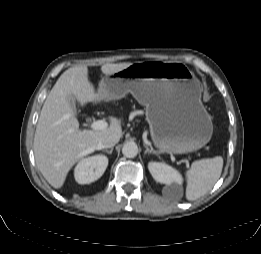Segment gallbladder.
<instances>
[{
  "label": "gallbladder",
  "mask_w": 261,
  "mask_h": 254,
  "mask_svg": "<svg viewBox=\"0 0 261 254\" xmlns=\"http://www.w3.org/2000/svg\"><path fill=\"white\" fill-rule=\"evenodd\" d=\"M68 101H69V104H70V106L72 107L73 111L75 112V111H76V107H75V101H74V99H73L71 96H69V97H68Z\"/></svg>",
  "instance_id": "obj_1"
}]
</instances>
